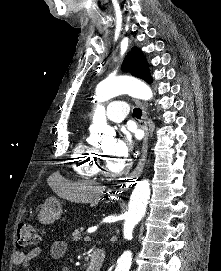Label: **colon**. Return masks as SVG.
Segmentation results:
<instances>
[{
  "mask_svg": "<svg viewBox=\"0 0 221 271\" xmlns=\"http://www.w3.org/2000/svg\"><path fill=\"white\" fill-rule=\"evenodd\" d=\"M37 241L38 236L34 227L30 223L21 222L16 235V248L26 249L31 245H35Z\"/></svg>",
  "mask_w": 221,
  "mask_h": 271,
  "instance_id": "obj_1",
  "label": "colon"
}]
</instances>
